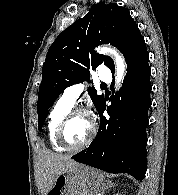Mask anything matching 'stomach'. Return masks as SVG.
Wrapping results in <instances>:
<instances>
[{"label": "stomach", "instance_id": "stomach-1", "mask_svg": "<svg viewBox=\"0 0 178 195\" xmlns=\"http://www.w3.org/2000/svg\"><path fill=\"white\" fill-rule=\"evenodd\" d=\"M104 174L89 166L79 165L57 177L49 195H95Z\"/></svg>", "mask_w": 178, "mask_h": 195}]
</instances>
